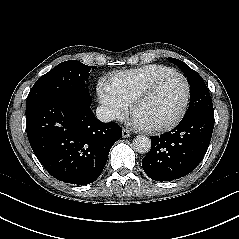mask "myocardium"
Listing matches in <instances>:
<instances>
[{"mask_svg": "<svg viewBox=\"0 0 239 239\" xmlns=\"http://www.w3.org/2000/svg\"><path fill=\"white\" fill-rule=\"evenodd\" d=\"M170 76H178L180 77L185 85V97H184V101L181 107V110L179 111V113L177 114V116L172 119L171 121H169L168 123L162 124V125H158V126H147V130L153 133H163V132H167L171 129H173L174 127H176L185 117L187 110H188V106L190 103V98H191V86L190 83L187 79V77L176 70H170L167 71L163 74L158 75L157 77H155L151 82H149L146 86H144L134 97L132 103H131V113L132 115L135 116L136 110L138 108V106L143 103L146 99H148L152 93L155 91V89L157 88V86L166 78L170 77Z\"/></svg>", "mask_w": 239, "mask_h": 239, "instance_id": "f54148a6", "label": "myocardium"}]
</instances>
